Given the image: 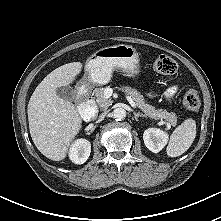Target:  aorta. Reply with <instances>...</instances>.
Wrapping results in <instances>:
<instances>
[{
  "mask_svg": "<svg viewBox=\"0 0 221 221\" xmlns=\"http://www.w3.org/2000/svg\"><path fill=\"white\" fill-rule=\"evenodd\" d=\"M112 116L117 121L123 120L126 117V110L123 108H116L113 110Z\"/></svg>",
  "mask_w": 221,
  "mask_h": 221,
  "instance_id": "1",
  "label": "aorta"
}]
</instances>
